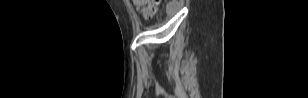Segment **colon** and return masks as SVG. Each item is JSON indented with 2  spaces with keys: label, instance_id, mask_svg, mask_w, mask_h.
I'll use <instances>...</instances> for the list:
<instances>
[{
  "label": "colon",
  "instance_id": "1",
  "mask_svg": "<svg viewBox=\"0 0 308 98\" xmlns=\"http://www.w3.org/2000/svg\"><path fill=\"white\" fill-rule=\"evenodd\" d=\"M134 3L141 8L145 18H152L158 11L159 0H134Z\"/></svg>",
  "mask_w": 308,
  "mask_h": 98
}]
</instances>
